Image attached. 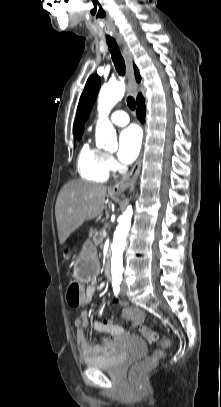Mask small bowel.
I'll list each match as a JSON object with an SVG mask.
<instances>
[{
    "label": "small bowel",
    "instance_id": "c3829d8e",
    "mask_svg": "<svg viewBox=\"0 0 221 407\" xmlns=\"http://www.w3.org/2000/svg\"><path fill=\"white\" fill-rule=\"evenodd\" d=\"M96 292V286L94 284H90L86 286L84 290V300L82 305H87L91 302L94 294ZM113 303H115L118 306H125L127 305L125 302L120 300L119 298H114ZM138 310V309H136ZM123 315V313H122ZM89 323V316L86 311H82L79 315L78 318L75 319L74 325L77 329L76 331V343L77 347L80 353V356L84 360H89V359H94L98 358L104 355L109 354L115 347L116 341L124 335L125 330L123 327L114 324L113 322L109 320H103V321H96L94 323L95 329L102 333L107 335L99 345H90L86 338H85V333L84 329L87 327ZM130 329L131 326H130Z\"/></svg>",
    "mask_w": 221,
    "mask_h": 407
}]
</instances>
